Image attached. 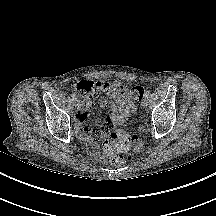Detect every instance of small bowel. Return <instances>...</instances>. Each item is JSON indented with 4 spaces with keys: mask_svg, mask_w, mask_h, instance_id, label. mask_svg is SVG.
I'll use <instances>...</instances> for the list:
<instances>
[{
    "mask_svg": "<svg viewBox=\"0 0 216 216\" xmlns=\"http://www.w3.org/2000/svg\"><path fill=\"white\" fill-rule=\"evenodd\" d=\"M98 85L106 94L99 101L101 108L113 104V110L107 118V122L113 125H120L127 121L135 112L134 103L131 100L129 87L122 82H98ZM93 107L92 100L83 99L80 103L79 109L75 115L76 131L80 138L89 141L94 147H98L99 133L95 129H89L85 126V122L90 115V110Z\"/></svg>",
    "mask_w": 216,
    "mask_h": 216,
    "instance_id": "c3829d8e",
    "label": "small bowel"
}]
</instances>
